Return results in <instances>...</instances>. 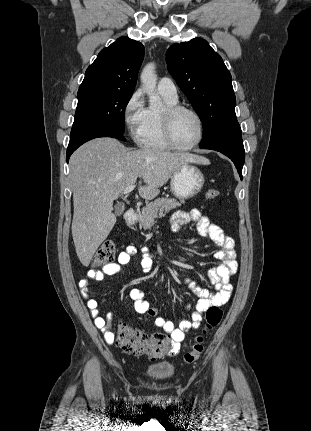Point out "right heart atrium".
Here are the masks:
<instances>
[{"mask_svg": "<svg viewBox=\"0 0 311 431\" xmlns=\"http://www.w3.org/2000/svg\"><path fill=\"white\" fill-rule=\"evenodd\" d=\"M147 109L141 90H135L126 100L123 107V121L130 137L139 141L140 128L144 122Z\"/></svg>", "mask_w": 311, "mask_h": 431, "instance_id": "right-heart-atrium-1", "label": "right heart atrium"}]
</instances>
